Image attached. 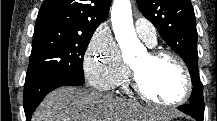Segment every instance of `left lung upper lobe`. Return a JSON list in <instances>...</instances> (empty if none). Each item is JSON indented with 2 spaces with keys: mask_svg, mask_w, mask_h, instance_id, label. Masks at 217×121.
I'll list each match as a JSON object with an SVG mask.
<instances>
[{
  "mask_svg": "<svg viewBox=\"0 0 217 121\" xmlns=\"http://www.w3.org/2000/svg\"><path fill=\"white\" fill-rule=\"evenodd\" d=\"M142 14L153 23L165 42L185 61L193 90L190 105L204 117L203 85L198 71L197 29L190 0H136Z\"/></svg>",
  "mask_w": 217,
  "mask_h": 121,
  "instance_id": "1",
  "label": "left lung upper lobe"
}]
</instances>
